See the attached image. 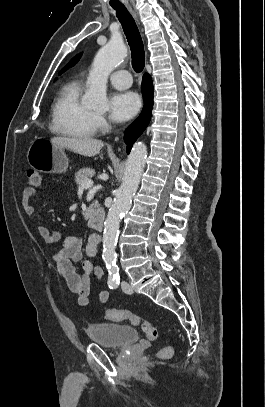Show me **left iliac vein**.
<instances>
[{"instance_id":"4c4485c4","label":"left iliac vein","mask_w":265,"mask_h":407,"mask_svg":"<svg viewBox=\"0 0 265 407\" xmlns=\"http://www.w3.org/2000/svg\"><path fill=\"white\" fill-rule=\"evenodd\" d=\"M121 288L122 290L127 293V294H131L132 293V288L130 287L129 283L126 281H123L121 284Z\"/></svg>"}]
</instances>
